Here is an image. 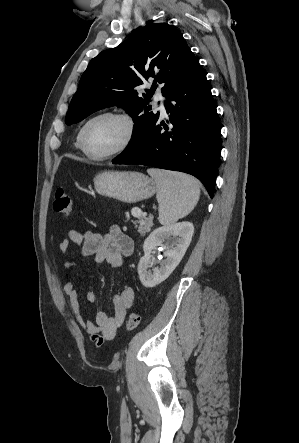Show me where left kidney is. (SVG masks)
Here are the masks:
<instances>
[{"mask_svg":"<svg viewBox=\"0 0 299 443\" xmlns=\"http://www.w3.org/2000/svg\"><path fill=\"white\" fill-rule=\"evenodd\" d=\"M193 233V224L184 221L157 228L147 237L143 245L144 256L138 264L139 278L145 287H155L169 277L183 258ZM158 246H162L165 250L166 259L160 268L150 272L148 268L151 264V254Z\"/></svg>","mask_w":299,"mask_h":443,"instance_id":"obj_1","label":"left kidney"}]
</instances>
